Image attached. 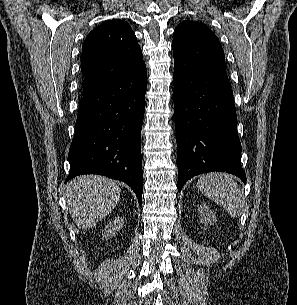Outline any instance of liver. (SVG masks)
I'll return each instance as SVG.
<instances>
[{
	"label": "liver",
	"instance_id": "1",
	"mask_svg": "<svg viewBox=\"0 0 297 305\" xmlns=\"http://www.w3.org/2000/svg\"><path fill=\"white\" fill-rule=\"evenodd\" d=\"M121 190L113 180L98 175H83L67 186V205L76 225L82 230L94 227L115 208Z\"/></svg>",
	"mask_w": 297,
	"mask_h": 305
}]
</instances>
